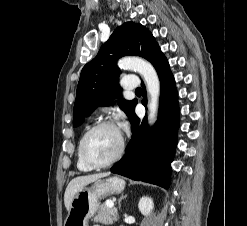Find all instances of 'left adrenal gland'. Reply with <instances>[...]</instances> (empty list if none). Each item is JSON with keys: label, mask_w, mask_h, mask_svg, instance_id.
Returning <instances> with one entry per match:
<instances>
[{"label": "left adrenal gland", "mask_w": 247, "mask_h": 226, "mask_svg": "<svg viewBox=\"0 0 247 226\" xmlns=\"http://www.w3.org/2000/svg\"><path fill=\"white\" fill-rule=\"evenodd\" d=\"M127 197V195H121V197H120V199H119V201H118V207H119V209L121 208V201L123 200V199H125Z\"/></svg>", "instance_id": "1"}]
</instances>
